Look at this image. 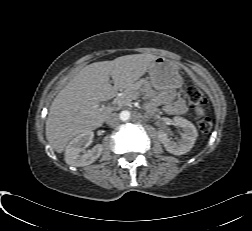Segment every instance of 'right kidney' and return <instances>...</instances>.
Instances as JSON below:
<instances>
[{
  "label": "right kidney",
  "mask_w": 252,
  "mask_h": 231,
  "mask_svg": "<svg viewBox=\"0 0 252 231\" xmlns=\"http://www.w3.org/2000/svg\"><path fill=\"white\" fill-rule=\"evenodd\" d=\"M94 133L92 131L84 132L69 142L65 149V161L68 165L81 167L95 162L102 153V145H96L88 152L80 155L83 148H86L92 142Z\"/></svg>",
  "instance_id": "1"
}]
</instances>
